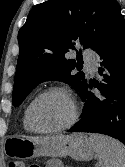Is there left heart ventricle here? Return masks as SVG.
Instances as JSON below:
<instances>
[{
	"label": "left heart ventricle",
	"mask_w": 125,
	"mask_h": 167,
	"mask_svg": "<svg viewBox=\"0 0 125 167\" xmlns=\"http://www.w3.org/2000/svg\"><path fill=\"white\" fill-rule=\"evenodd\" d=\"M71 115L66 98L60 94H49L41 98L33 107L31 122L35 128L51 129L64 124Z\"/></svg>",
	"instance_id": "1"
}]
</instances>
